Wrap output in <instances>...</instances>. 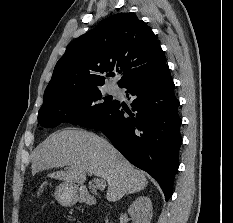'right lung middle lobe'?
Instances as JSON below:
<instances>
[{
  "mask_svg": "<svg viewBox=\"0 0 233 223\" xmlns=\"http://www.w3.org/2000/svg\"><path fill=\"white\" fill-rule=\"evenodd\" d=\"M115 104L116 100L102 98L100 88L90 89L42 105L38 122L45 128H53L64 122L85 126L100 112Z\"/></svg>",
  "mask_w": 233,
  "mask_h": 223,
  "instance_id": "obj_1",
  "label": "right lung middle lobe"
}]
</instances>
